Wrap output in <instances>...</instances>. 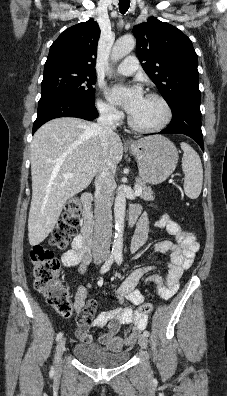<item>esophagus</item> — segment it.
<instances>
[{
  "instance_id": "esophagus-1",
  "label": "esophagus",
  "mask_w": 227,
  "mask_h": 396,
  "mask_svg": "<svg viewBox=\"0 0 227 396\" xmlns=\"http://www.w3.org/2000/svg\"><path fill=\"white\" fill-rule=\"evenodd\" d=\"M126 143H127V144H131V143H132V140L127 139V140H126Z\"/></svg>"
}]
</instances>
